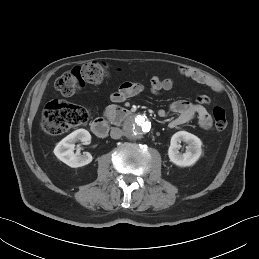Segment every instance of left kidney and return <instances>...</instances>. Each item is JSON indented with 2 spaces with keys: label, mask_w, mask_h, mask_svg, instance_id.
Returning <instances> with one entry per match:
<instances>
[{
  "label": "left kidney",
  "mask_w": 259,
  "mask_h": 259,
  "mask_svg": "<svg viewBox=\"0 0 259 259\" xmlns=\"http://www.w3.org/2000/svg\"><path fill=\"white\" fill-rule=\"evenodd\" d=\"M181 141L188 144L184 153L179 152ZM201 140L186 131L176 132L170 142L168 156L172 163L179 167H187L193 165L202 154Z\"/></svg>",
  "instance_id": "obj_1"
}]
</instances>
